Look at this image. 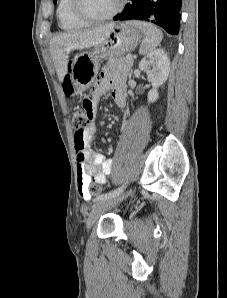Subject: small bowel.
I'll return each instance as SVG.
<instances>
[{
	"label": "small bowel",
	"mask_w": 227,
	"mask_h": 298,
	"mask_svg": "<svg viewBox=\"0 0 227 298\" xmlns=\"http://www.w3.org/2000/svg\"><path fill=\"white\" fill-rule=\"evenodd\" d=\"M108 91L118 107L123 108L126 105V86L123 79L113 73L105 72L95 82L92 97L83 98V103H92L82 104L86 115H99L98 102L101 96ZM96 130V117H89V126L84 131V158L80 159L76 151L79 193L86 201L91 199V195L87 191L91 181L101 185L105 184L106 177L111 174L113 167L112 159L106 158L104 154L92 149Z\"/></svg>",
	"instance_id": "small-bowel-1"
}]
</instances>
